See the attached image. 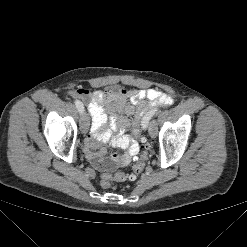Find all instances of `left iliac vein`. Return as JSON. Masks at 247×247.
<instances>
[{
  "mask_svg": "<svg viewBox=\"0 0 247 247\" xmlns=\"http://www.w3.org/2000/svg\"><path fill=\"white\" fill-rule=\"evenodd\" d=\"M142 127H143V129H146L148 127V125L147 126L143 125ZM156 128H157L156 127V122L155 121L151 122L150 126H149V134H150L151 137H155L156 136Z\"/></svg>",
  "mask_w": 247,
  "mask_h": 247,
  "instance_id": "left-iliac-vein-1",
  "label": "left iliac vein"
}]
</instances>
